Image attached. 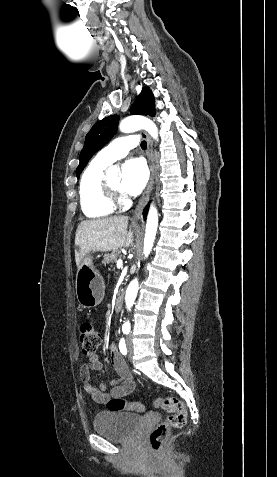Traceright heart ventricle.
I'll return each instance as SVG.
<instances>
[{
    "instance_id": "e07e8e85",
    "label": "right heart ventricle",
    "mask_w": 277,
    "mask_h": 477,
    "mask_svg": "<svg viewBox=\"0 0 277 477\" xmlns=\"http://www.w3.org/2000/svg\"><path fill=\"white\" fill-rule=\"evenodd\" d=\"M108 165L92 160L84 170L79 184L81 210L89 218H101L113 213L115 206L101 193V181Z\"/></svg>"
}]
</instances>
